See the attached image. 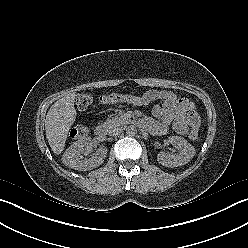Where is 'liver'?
Returning <instances> with one entry per match:
<instances>
[{"label": "liver", "mask_w": 248, "mask_h": 248, "mask_svg": "<svg viewBox=\"0 0 248 248\" xmlns=\"http://www.w3.org/2000/svg\"><path fill=\"white\" fill-rule=\"evenodd\" d=\"M75 93H69L56 101L48 110L45 130L52 151L59 155L65 147L68 132L76 120Z\"/></svg>", "instance_id": "1"}]
</instances>
